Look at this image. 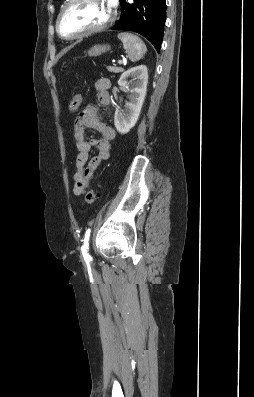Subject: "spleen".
Wrapping results in <instances>:
<instances>
[{
	"label": "spleen",
	"mask_w": 254,
	"mask_h": 397,
	"mask_svg": "<svg viewBox=\"0 0 254 397\" xmlns=\"http://www.w3.org/2000/svg\"><path fill=\"white\" fill-rule=\"evenodd\" d=\"M118 38L122 41L123 47L131 61H138L145 55L147 51L146 45L138 36L124 32L119 33Z\"/></svg>",
	"instance_id": "3e777b00"
}]
</instances>
